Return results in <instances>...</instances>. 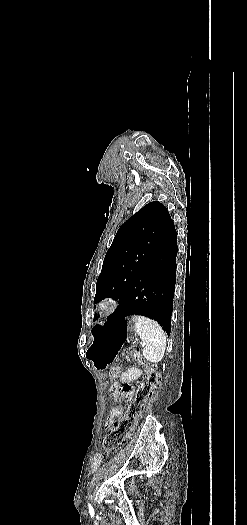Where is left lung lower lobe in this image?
I'll list each match as a JSON object with an SVG mask.
<instances>
[{
    "label": "left lung lower lobe",
    "mask_w": 247,
    "mask_h": 525,
    "mask_svg": "<svg viewBox=\"0 0 247 525\" xmlns=\"http://www.w3.org/2000/svg\"><path fill=\"white\" fill-rule=\"evenodd\" d=\"M177 251V233L172 220L157 239L145 267L108 321L143 315L159 322L170 335Z\"/></svg>",
    "instance_id": "obj_1"
}]
</instances>
